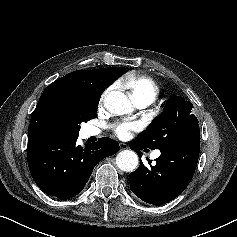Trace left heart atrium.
<instances>
[{
  "mask_svg": "<svg viewBox=\"0 0 237 237\" xmlns=\"http://www.w3.org/2000/svg\"><path fill=\"white\" fill-rule=\"evenodd\" d=\"M138 129H139L138 123L121 122L115 125L114 131L119 138L127 139L129 138L131 131H136Z\"/></svg>",
  "mask_w": 237,
  "mask_h": 237,
  "instance_id": "1",
  "label": "left heart atrium"
}]
</instances>
